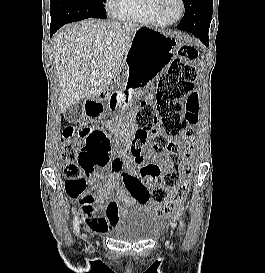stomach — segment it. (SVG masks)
Wrapping results in <instances>:
<instances>
[{"label": "stomach", "mask_w": 265, "mask_h": 273, "mask_svg": "<svg viewBox=\"0 0 265 273\" xmlns=\"http://www.w3.org/2000/svg\"><path fill=\"white\" fill-rule=\"evenodd\" d=\"M178 43L170 34L143 26L131 40L125 55V85L120 90H142L152 78H159L165 73L167 64L174 58ZM135 78L136 80H126Z\"/></svg>", "instance_id": "0dacf381"}]
</instances>
